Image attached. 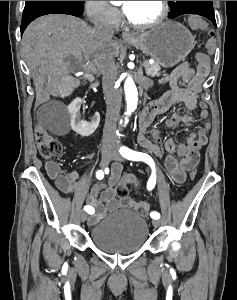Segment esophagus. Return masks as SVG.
<instances>
[{"mask_svg":"<svg viewBox=\"0 0 237 300\" xmlns=\"http://www.w3.org/2000/svg\"><path fill=\"white\" fill-rule=\"evenodd\" d=\"M122 38L125 41H131V40H134L137 38V34L125 32V33H122Z\"/></svg>","mask_w":237,"mask_h":300,"instance_id":"1","label":"esophagus"}]
</instances>
